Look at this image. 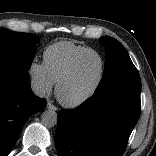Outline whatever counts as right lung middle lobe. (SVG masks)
<instances>
[{"mask_svg":"<svg viewBox=\"0 0 156 156\" xmlns=\"http://www.w3.org/2000/svg\"><path fill=\"white\" fill-rule=\"evenodd\" d=\"M38 42L33 34L0 29V68L27 73Z\"/></svg>","mask_w":156,"mask_h":156,"instance_id":"1","label":"right lung middle lobe"}]
</instances>
